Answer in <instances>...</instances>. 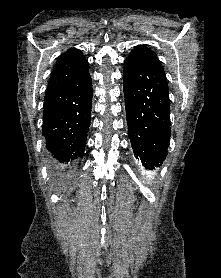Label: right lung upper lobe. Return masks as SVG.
I'll return each instance as SVG.
<instances>
[{"instance_id":"obj_1","label":"right lung upper lobe","mask_w":221,"mask_h":278,"mask_svg":"<svg viewBox=\"0 0 221 278\" xmlns=\"http://www.w3.org/2000/svg\"><path fill=\"white\" fill-rule=\"evenodd\" d=\"M89 70V64L83 54L76 48H70L57 60L47 89H51L75 80Z\"/></svg>"}]
</instances>
